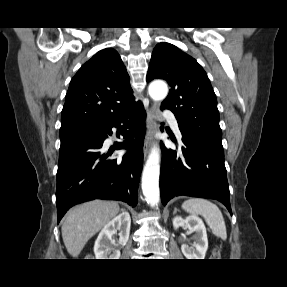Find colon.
<instances>
[{"mask_svg": "<svg viewBox=\"0 0 287 287\" xmlns=\"http://www.w3.org/2000/svg\"><path fill=\"white\" fill-rule=\"evenodd\" d=\"M214 256L215 257H218L219 256V254H218V252L216 251V252H214Z\"/></svg>", "mask_w": 287, "mask_h": 287, "instance_id": "5ec220e1", "label": "colon"}]
</instances>
